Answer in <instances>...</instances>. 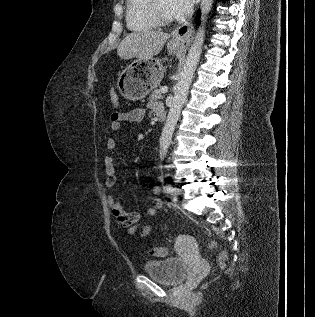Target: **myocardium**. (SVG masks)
I'll return each mask as SVG.
<instances>
[{
	"instance_id": "myocardium-1",
	"label": "myocardium",
	"mask_w": 315,
	"mask_h": 317,
	"mask_svg": "<svg viewBox=\"0 0 315 317\" xmlns=\"http://www.w3.org/2000/svg\"><path fill=\"white\" fill-rule=\"evenodd\" d=\"M150 11L155 23L159 26H168L172 24V18L164 17L155 5V0H150Z\"/></svg>"
}]
</instances>
